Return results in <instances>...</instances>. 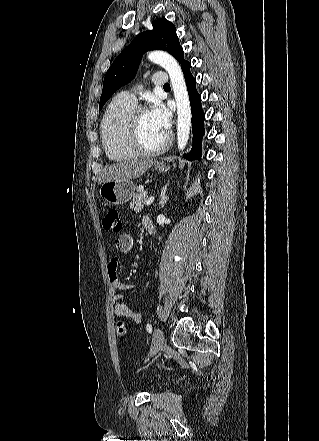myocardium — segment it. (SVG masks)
<instances>
[{
	"label": "myocardium",
	"instance_id": "f54148a6",
	"mask_svg": "<svg viewBox=\"0 0 319 441\" xmlns=\"http://www.w3.org/2000/svg\"><path fill=\"white\" fill-rule=\"evenodd\" d=\"M147 112L145 107H135L131 112L127 125V141L129 146L138 155L153 156L164 152L171 143V135L167 134L165 140L156 148H147L140 139V116Z\"/></svg>",
	"mask_w": 319,
	"mask_h": 441
}]
</instances>
